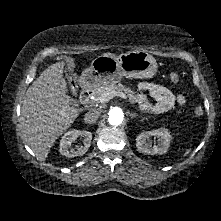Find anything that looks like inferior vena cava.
Returning a JSON list of instances; mask_svg holds the SVG:
<instances>
[{"label":"inferior vena cava","mask_w":221,"mask_h":221,"mask_svg":"<svg viewBox=\"0 0 221 221\" xmlns=\"http://www.w3.org/2000/svg\"><path fill=\"white\" fill-rule=\"evenodd\" d=\"M100 110L98 109H92V110H89L85 115H84V121L85 123H88V124H92V123H95L99 116H100Z\"/></svg>","instance_id":"obj_1"}]
</instances>
